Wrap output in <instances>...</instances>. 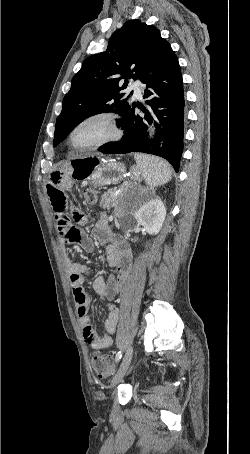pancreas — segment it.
I'll return each instance as SVG.
<instances>
[{
  "label": "pancreas",
  "mask_w": 250,
  "mask_h": 454,
  "mask_svg": "<svg viewBox=\"0 0 250 454\" xmlns=\"http://www.w3.org/2000/svg\"><path fill=\"white\" fill-rule=\"evenodd\" d=\"M119 201V195L116 189H110L105 192L100 201V207L109 210L112 206H116ZM105 217V215H103Z\"/></svg>",
  "instance_id": "pancreas-1"
}]
</instances>
